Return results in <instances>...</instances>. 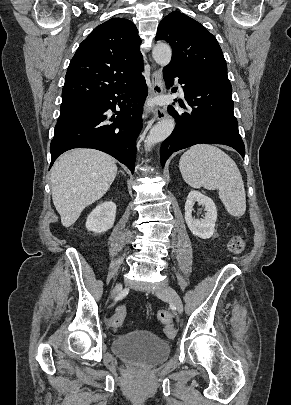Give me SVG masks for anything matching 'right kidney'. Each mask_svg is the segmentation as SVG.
<instances>
[{"instance_id":"1","label":"right kidney","mask_w":291,"mask_h":405,"mask_svg":"<svg viewBox=\"0 0 291 405\" xmlns=\"http://www.w3.org/2000/svg\"><path fill=\"white\" fill-rule=\"evenodd\" d=\"M116 217V204L105 201L99 204L88 216L86 229L95 233H103L113 227Z\"/></svg>"}]
</instances>
